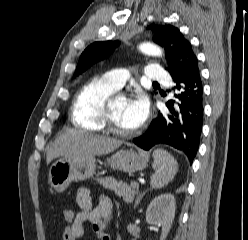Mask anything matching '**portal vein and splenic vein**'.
<instances>
[{
	"instance_id": "portal-vein-and-splenic-vein-1",
	"label": "portal vein and splenic vein",
	"mask_w": 248,
	"mask_h": 240,
	"mask_svg": "<svg viewBox=\"0 0 248 240\" xmlns=\"http://www.w3.org/2000/svg\"><path fill=\"white\" fill-rule=\"evenodd\" d=\"M131 185L133 186V187H135V188H139V184L137 183V182H131Z\"/></svg>"
}]
</instances>
